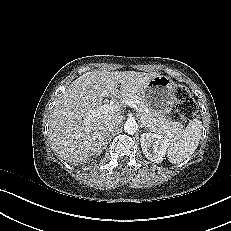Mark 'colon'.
Returning a JSON list of instances; mask_svg holds the SVG:
<instances>
[{
    "label": "colon",
    "instance_id": "obj_1",
    "mask_svg": "<svg viewBox=\"0 0 231 231\" xmlns=\"http://www.w3.org/2000/svg\"><path fill=\"white\" fill-rule=\"evenodd\" d=\"M176 107L180 117L186 121H192L197 117V105L189 90L183 85H176L174 88Z\"/></svg>",
    "mask_w": 231,
    "mask_h": 231
}]
</instances>
